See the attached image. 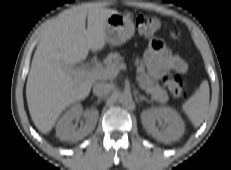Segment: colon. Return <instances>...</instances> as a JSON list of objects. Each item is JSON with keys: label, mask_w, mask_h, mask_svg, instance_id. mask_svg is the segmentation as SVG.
Masks as SVG:
<instances>
[{"label": "colon", "mask_w": 231, "mask_h": 170, "mask_svg": "<svg viewBox=\"0 0 231 170\" xmlns=\"http://www.w3.org/2000/svg\"><path fill=\"white\" fill-rule=\"evenodd\" d=\"M136 27L142 36L151 37L160 28V21L154 16L140 15L136 19ZM164 84L173 96L180 98L188 96L186 82L180 74L166 78Z\"/></svg>", "instance_id": "colon-1"}]
</instances>
